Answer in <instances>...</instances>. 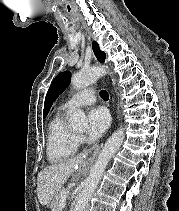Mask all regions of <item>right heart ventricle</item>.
Here are the masks:
<instances>
[{
    "label": "right heart ventricle",
    "mask_w": 179,
    "mask_h": 211,
    "mask_svg": "<svg viewBox=\"0 0 179 211\" xmlns=\"http://www.w3.org/2000/svg\"><path fill=\"white\" fill-rule=\"evenodd\" d=\"M64 109L59 110L48 126L47 156L51 163H63L73 157L78 148L77 135L66 122Z\"/></svg>",
    "instance_id": "1"
}]
</instances>
